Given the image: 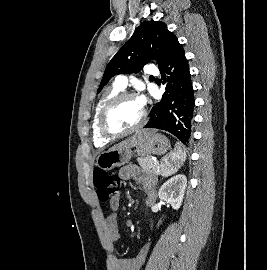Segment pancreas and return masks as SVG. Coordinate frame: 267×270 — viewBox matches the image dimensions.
<instances>
[{
	"mask_svg": "<svg viewBox=\"0 0 267 270\" xmlns=\"http://www.w3.org/2000/svg\"><path fill=\"white\" fill-rule=\"evenodd\" d=\"M137 161L144 172L153 176H157L159 174V163L152 160L151 156L140 157Z\"/></svg>",
	"mask_w": 267,
	"mask_h": 270,
	"instance_id": "1",
	"label": "pancreas"
}]
</instances>
